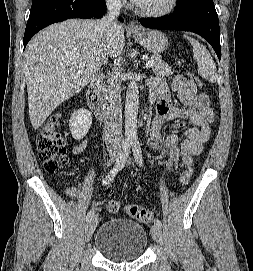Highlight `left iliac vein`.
Listing matches in <instances>:
<instances>
[{
	"mask_svg": "<svg viewBox=\"0 0 253 271\" xmlns=\"http://www.w3.org/2000/svg\"><path fill=\"white\" fill-rule=\"evenodd\" d=\"M151 234H152V237L153 239L160 245L163 244V236H162V231H161V228L156 226V225H153L151 227Z\"/></svg>",
	"mask_w": 253,
	"mask_h": 271,
	"instance_id": "4c4485c4",
	"label": "left iliac vein"
}]
</instances>
